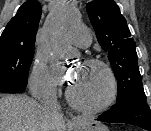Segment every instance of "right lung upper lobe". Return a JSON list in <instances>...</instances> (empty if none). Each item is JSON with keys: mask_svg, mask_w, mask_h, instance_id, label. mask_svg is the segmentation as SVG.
<instances>
[{"mask_svg": "<svg viewBox=\"0 0 151 131\" xmlns=\"http://www.w3.org/2000/svg\"><path fill=\"white\" fill-rule=\"evenodd\" d=\"M41 11V4L37 0L25 2L7 24L0 37V43L16 42L34 46Z\"/></svg>", "mask_w": 151, "mask_h": 131, "instance_id": "cb5924a9", "label": "right lung upper lobe"}]
</instances>
